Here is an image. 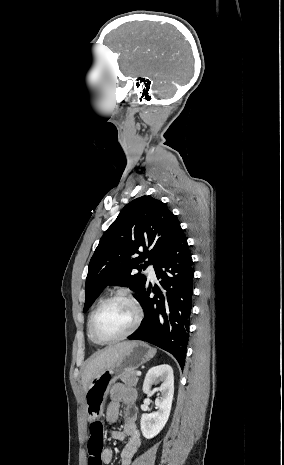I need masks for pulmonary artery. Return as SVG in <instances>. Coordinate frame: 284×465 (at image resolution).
<instances>
[{"label":"pulmonary artery","mask_w":284,"mask_h":465,"mask_svg":"<svg viewBox=\"0 0 284 465\" xmlns=\"http://www.w3.org/2000/svg\"><path fill=\"white\" fill-rule=\"evenodd\" d=\"M148 275H149L150 279H152V280L155 279V273H154V271L152 269L148 270Z\"/></svg>","instance_id":"e3ab8cb5"}]
</instances>
